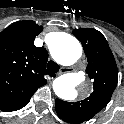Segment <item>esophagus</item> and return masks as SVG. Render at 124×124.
Listing matches in <instances>:
<instances>
[{
  "label": "esophagus",
  "instance_id": "34e87169",
  "mask_svg": "<svg viewBox=\"0 0 124 124\" xmlns=\"http://www.w3.org/2000/svg\"><path fill=\"white\" fill-rule=\"evenodd\" d=\"M73 71H74V68L72 67H61L59 74H64V73L73 72Z\"/></svg>",
  "mask_w": 124,
  "mask_h": 124
}]
</instances>
